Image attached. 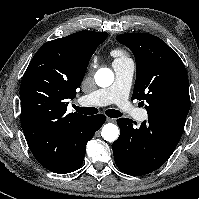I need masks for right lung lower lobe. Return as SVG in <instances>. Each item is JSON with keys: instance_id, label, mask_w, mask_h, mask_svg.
<instances>
[{"instance_id": "right-lung-lower-lobe-1", "label": "right lung lower lobe", "mask_w": 199, "mask_h": 199, "mask_svg": "<svg viewBox=\"0 0 199 199\" xmlns=\"http://www.w3.org/2000/svg\"><path fill=\"white\" fill-rule=\"evenodd\" d=\"M105 120L106 117L102 114L84 117L68 130L58 144L44 145L29 135H25V138L32 154L43 167L54 173H70L82 165L87 142Z\"/></svg>"}]
</instances>
